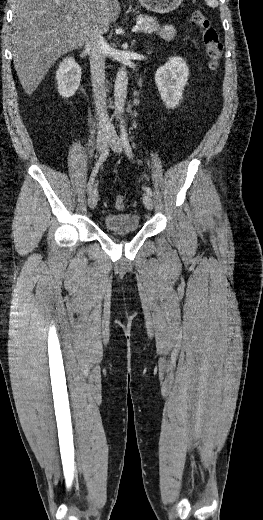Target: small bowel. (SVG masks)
<instances>
[{
	"label": "small bowel",
	"mask_w": 263,
	"mask_h": 520,
	"mask_svg": "<svg viewBox=\"0 0 263 520\" xmlns=\"http://www.w3.org/2000/svg\"><path fill=\"white\" fill-rule=\"evenodd\" d=\"M162 35L165 38H171L174 35V30L171 26H165L162 30Z\"/></svg>",
	"instance_id": "c3829d8e"
}]
</instances>
